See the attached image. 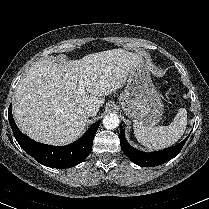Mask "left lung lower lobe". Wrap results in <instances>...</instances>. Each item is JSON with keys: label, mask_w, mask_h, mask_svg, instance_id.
I'll return each mask as SVG.
<instances>
[{"label": "left lung lower lobe", "mask_w": 209, "mask_h": 209, "mask_svg": "<svg viewBox=\"0 0 209 209\" xmlns=\"http://www.w3.org/2000/svg\"><path fill=\"white\" fill-rule=\"evenodd\" d=\"M187 138L176 146L152 153H145L133 148L125 138L124 129L120 128V145L125 155L141 167L161 165L176 157L183 148Z\"/></svg>", "instance_id": "obj_1"}]
</instances>
